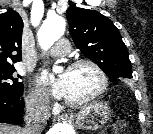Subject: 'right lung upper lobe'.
Returning <instances> with one entry per match:
<instances>
[{
  "instance_id": "obj_1",
  "label": "right lung upper lobe",
  "mask_w": 153,
  "mask_h": 134,
  "mask_svg": "<svg viewBox=\"0 0 153 134\" xmlns=\"http://www.w3.org/2000/svg\"><path fill=\"white\" fill-rule=\"evenodd\" d=\"M23 21L13 9L0 14V67L21 60Z\"/></svg>"
}]
</instances>
